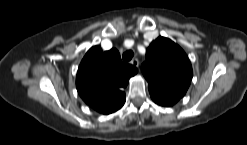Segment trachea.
<instances>
[{"instance_id": "trachea-1", "label": "trachea", "mask_w": 247, "mask_h": 145, "mask_svg": "<svg viewBox=\"0 0 247 145\" xmlns=\"http://www.w3.org/2000/svg\"><path fill=\"white\" fill-rule=\"evenodd\" d=\"M133 56H134L133 51L128 50L123 54L122 58L124 62H129L133 58Z\"/></svg>"}]
</instances>
